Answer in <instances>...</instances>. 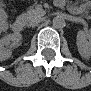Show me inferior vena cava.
Wrapping results in <instances>:
<instances>
[{"label":"inferior vena cava","mask_w":91,"mask_h":91,"mask_svg":"<svg viewBox=\"0 0 91 91\" xmlns=\"http://www.w3.org/2000/svg\"><path fill=\"white\" fill-rule=\"evenodd\" d=\"M42 21V18L39 16L37 18H35L28 26H36L38 23H40Z\"/></svg>","instance_id":"obj_1"}]
</instances>
